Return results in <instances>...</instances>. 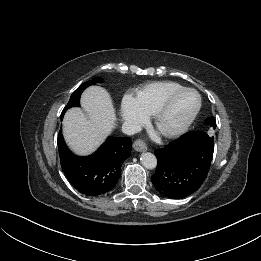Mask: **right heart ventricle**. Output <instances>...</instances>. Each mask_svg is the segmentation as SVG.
<instances>
[{"label": "right heart ventricle", "mask_w": 261, "mask_h": 261, "mask_svg": "<svg viewBox=\"0 0 261 261\" xmlns=\"http://www.w3.org/2000/svg\"><path fill=\"white\" fill-rule=\"evenodd\" d=\"M181 88L183 86L174 81L151 82L136 92L135 101L146 116H152L169 94Z\"/></svg>", "instance_id": "1"}]
</instances>
